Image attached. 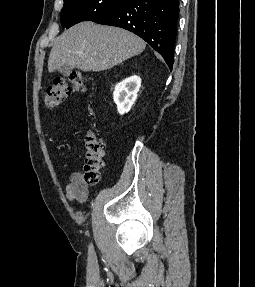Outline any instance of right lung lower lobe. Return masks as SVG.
I'll return each instance as SVG.
<instances>
[{
	"mask_svg": "<svg viewBox=\"0 0 255 287\" xmlns=\"http://www.w3.org/2000/svg\"><path fill=\"white\" fill-rule=\"evenodd\" d=\"M179 0H125L92 21L127 29L159 52L173 68Z\"/></svg>",
	"mask_w": 255,
	"mask_h": 287,
	"instance_id": "1",
	"label": "right lung lower lobe"
}]
</instances>
